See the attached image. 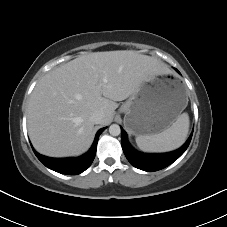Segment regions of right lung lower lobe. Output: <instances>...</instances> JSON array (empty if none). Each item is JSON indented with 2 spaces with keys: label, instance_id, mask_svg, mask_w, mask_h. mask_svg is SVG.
<instances>
[{
  "label": "right lung lower lobe",
  "instance_id": "98d812e1",
  "mask_svg": "<svg viewBox=\"0 0 227 227\" xmlns=\"http://www.w3.org/2000/svg\"><path fill=\"white\" fill-rule=\"evenodd\" d=\"M104 129L105 128H102L97 132L90 150L77 158H50L40 155L33 148L32 149L37 158L49 169L62 174L77 175L85 171L92 164L96 154L98 138Z\"/></svg>",
  "mask_w": 227,
  "mask_h": 227
}]
</instances>
